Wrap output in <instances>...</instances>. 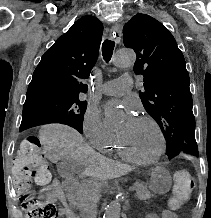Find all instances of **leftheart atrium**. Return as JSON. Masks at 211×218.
Returning <instances> with one entry per match:
<instances>
[{"label":"left heart atrium","mask_w":211,"mask_h":218,"mask_svg":"<svg viewBox=\"0 0 211 218\" xmlns=\"http://www.w3.org/2000/svg\"><path fill=\"white\" fill-rule=\"evenodd\" d=\"M111 106H118L125 110L126 112V121L124 123L125 127H130L136 120L134 116L135 104L130 100H124L120 102H114L110 104Z\"/></svg>","instance_id":"1"}]
</instances>
